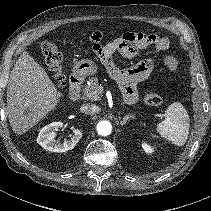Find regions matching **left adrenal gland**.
I'll list each match as a JSON object with an SVG mask.
<instances>
[{"mask_svg":"<svg viewBox=\"0 0 211 211\" xmlns=\"http://www.w3.org/2000/svg\"><path fill=\"white\" fill-rule=\"evenodd\" d=\"M134 118L133 116H125L121 121H120V124L121 126L125 125L127 123V121H129L130 119Z\"/></svg>","mask_w":211,"mask_h":211,"instance_id":"1","label":"left adrenal gland"}]
</instances>
